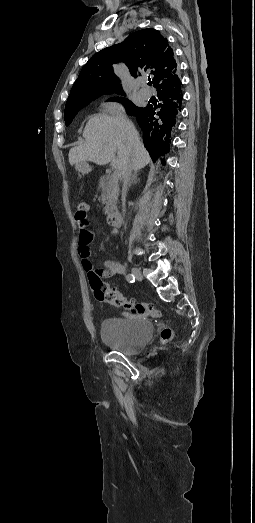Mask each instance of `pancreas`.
<instances>
[{"instance_id": "obj_1", "label": "pancreas", "mask_w": 255, "mask_h": 523, "mask_svg": "<svg viewBox=\"0 0 255 523\" xmlns=\"http://www.w3.org/2000/svg\"><path fill=\"white\" fill-rule=\"evenodd\" d=\"M119 176L107 174L102 176L99 182V190L101 192L102 204H106L103 208L104 214H112L116 210L117 200L119 196Z\"/></svg>"}]
</instances>
